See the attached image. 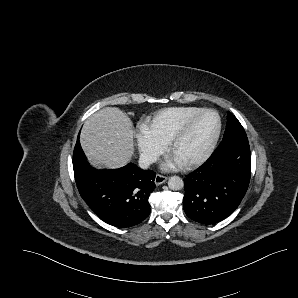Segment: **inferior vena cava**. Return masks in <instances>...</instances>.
<instances>
[{
    "mask_svg": "<svg viewBox=\"0 0 298 298\" xmlns=\"http://www.w3.org/2000/svg\"><path fill=\"white\" fill-rule=\"evenodd\" d=\"M157 158L153 153H142L139 157V167L147 169L152 163L157 161Z\"/></svg>",
    "mask_w": 298,
    "mask_h": 298,
    "instance_id": "obj_1",
    "label": "inferior vena cava"
}]
</instances>
